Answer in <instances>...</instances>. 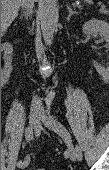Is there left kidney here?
I'll use <instances>...</instances> for the list:
<instances>
[{"instance_id": "left-kidney-1", "label": "left kidney", "mask_w": 109, "mask_h": 170, "mask_svg": "<svg viewBox=\"0 0 109 170\" xmlns=\"http://www.w3.org/2000/svg\"><path fill=\"white\" fill-rule=\"evenodd\" d=\"M83 33L88 36H101L105 41H109V24L105 21L92 19L84 23L82 26ZM94 67L101 75H107L109 71L108 65L94 63Z\"/></svg>"}]
</instances>
